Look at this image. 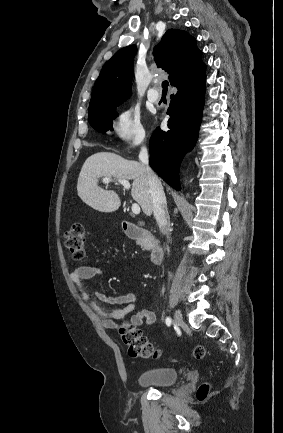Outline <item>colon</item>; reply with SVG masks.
Wrapping results in <instances>:
<instances>
[{"label":"colon","instance_id":"colon-1","mask_svg":"<svg viewBox=\"0 0 283 433\" xmlns=\"http://www.w3.org/2000/svg\"><path fill=\"white\" fill-rule=\"evenodd\" d=\"M64 243L73 259L77 261L82 260L86 252L84 226L79 222L73 223L65 234ZM118 332L122 342L127 346L130 357L151 359L158 356V349L150 343L138 327L132 325L130 322L122 323L118 328ZM194 354L197 359H202L206 355V350L202 346H197ZM208 392V385H201L197 390V398L199 400L206 399Z\"/></svg>","mask_w":283,"mask_h":433}]
</instances>
